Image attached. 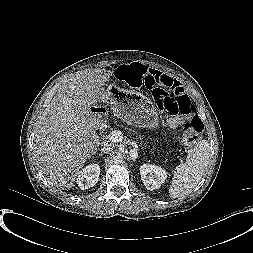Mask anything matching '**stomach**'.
<instances>
[{"mask_svg": "<svg viewBox=\"0 0 253 253\" xmlns=\"http://www.w3.org/2000/svg\"><path fill=\"white\" fill-rule=\"evenodd\" d=\"M100 101L107 102L117 117L130 125L143 128L158 127V112L144 95L109 86Z\"/></svg>", "mask_w": 253, "mask_h": 253, "instance_id": "1", "label": "stomach"}]
</instances>
